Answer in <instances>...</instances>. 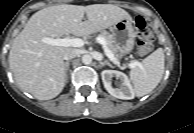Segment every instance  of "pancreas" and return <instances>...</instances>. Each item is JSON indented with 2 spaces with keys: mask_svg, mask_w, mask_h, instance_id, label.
<instances>
[{
  "mask_svg": "<svg viewBox=\"0 0 194 133\" xmlns=\"http://www.w3.org/2000/svg\"><path fill=\"white\" fill-rule=\"evenodd\" d=\"M99 35H100V37L105 38V40L107 42L108 49L113 53V55L117 56L118 51L116 49V46L114 44L112 36L109 33H107L106 31H102Z\"/></svg>",
  "mask_w": 194,
  "mask_h": 133,
  "instance_id": "obj_1",
  "label": "pancreas"
}]
</instances>
